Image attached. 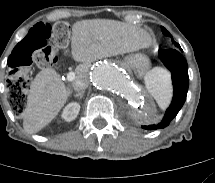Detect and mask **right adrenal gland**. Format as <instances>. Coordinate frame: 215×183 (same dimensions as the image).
I'll return each mask as SVG.
<instances>
[{
  "instance_id": "1",
  "label": "right adrenal gland",
  "mask_w": 215,
  "mask_h": 183,
  "mask_svg": "<svg viewBox=\"0 0 215 183\" xmlns=\"http://www.w3.org/2000/svg\"><path fill=\"white\" fill-rule=\"evenodd\" d=\"M83 95H84V90L81 91V92H78V93L74 94V97H76V98L79 97L80 99H82Z\"/></svg>"
}]
</instances>
